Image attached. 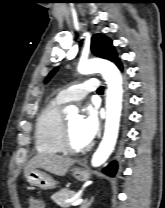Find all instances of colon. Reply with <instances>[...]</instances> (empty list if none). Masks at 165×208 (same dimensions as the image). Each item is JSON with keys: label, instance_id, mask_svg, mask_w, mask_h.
Wrapping results in <instances>:
<instances>
[{"label": "colon", "instance_id": "colon-1", "mask_svg": "<svg viewBox=\"0 0 165 208\" xmlns=\"http://www.w3.org/2000/svg\"><path fill=\"white\" fill-rule=\"evenodd\" d=\"M29 208H42V203L37 196L31 195L27 199Z\"/></svg>", "mask_w": 165, "mask_h": 208}]
</instances>
